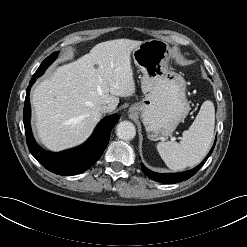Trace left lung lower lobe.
<instances>
[{
  "instance_id": "obj_1",
  "label": "left lung lower lobe",
  "mask_w": 247,
  "mask_h": 247,
  "mask_svg": "<svg viewBox=\"0 0 247 247\" xmlns=\"http://www.w3.org/2000/svg\"><path fill=\"white\" fill-rule=\"evenodd\" d=\"M216 142V140H215ZM215 143L213 147L211 148L209 154L206 156V158L194 169L182 172V173H174V174H160L156 172H152L149 169H147L143 164H141L142 171L145 173L146 176H148L150 179L155 180L160 183L165 184H172V183H178L181 181H185L192 177L206 162L208 157L211 155L213 149H214Z\"/></svg>"
}]
</instances>
